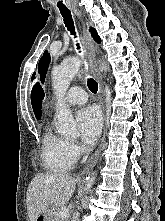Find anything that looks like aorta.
<instances>
[{
	"instance_id": "1",
	"label": "aorta",
	"mask_w": 165,
	"mask_h": 221,
	"mask_svg": "<svg viewBox=\"0 0 165 221\" xmlns=\"http://www.w3.org/2000/svg\"><path fill=\"white\" fill-rule=\"evenodd\" d=\"M81 61L73 58L63 61L52 71L53 89L58 97L56 108V121L58 132L63 135H73L77 132V124L70 109L64 105L62 99L75 75L78 73ZM101 70H109L105 62L101 64ZM95 175L91 174L86 178L85 191L88 192L94 183Z\"/></svg>"
}]
</instances>
